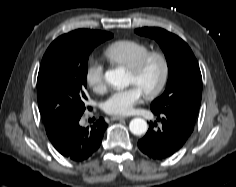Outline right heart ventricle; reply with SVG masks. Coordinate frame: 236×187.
<instances>
[{
	"mask_svg": "<svg viewBox=\"0 0 236 187\" xmlns=\"http://www.w3.org/2000/svg\"><path fill=\"white\" fill-rule=\"evenodd\" d=\"M150 51L149 47L137 40H117L104 50V57L111 64L129 69L141 56Z\"/></svg>",
	"mask_w": 236,
	"mask_h": 187,
	"instance_id": "right-heart-ventricle-1",
	"label": "right heart ventricle"
}]
</instances>
